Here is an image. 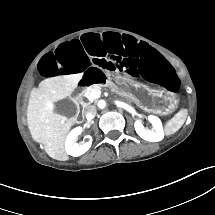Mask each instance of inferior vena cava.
<instances>
[{"mask_svg":"<svg viewBox=\"0 0 215 215\" xmlns=\"http://www.w3.org/2000/svg\"><path fill=\"white\" fill-rule=\"evenodd\" d=\"M82 112L88 120H91L96 116L97 109L94 105H88L83 109Z\"/></svg>","mask_w":215,"mask_h":215,"instance_id":"inferior-vena-cava-1","label":"inferior vena cava"}]
</instances>
